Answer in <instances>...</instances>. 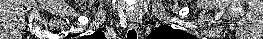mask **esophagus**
<instances>
[{
  "instance_id": "obj_1",
  "label": "esophagus",
  "mask_w": 263,
  "mask_h": 39,
  "mask_svg": "<svg viewBox=\"0 0 263 39\" xmlns=\"http://www.w3.org/2000/svg\"><path fill=\"white\" fill-rule=\"evenodd\" d=\"M129 24L130 26H132L133 28H137L138 26V20L134 17H130L128 18Z\"/></svg>"
}]
</instances>
